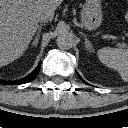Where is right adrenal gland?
Listing matches in <instances>:
<instances>
[{"instance_id": "1", "label": "right adrenal gland", "mask_w": 128, "mask_h": 128, "mask_svg": "<svg viewBox=\"0 0 128 128\" xmlns=\"http://www.w3.org/2000/svg\"><path fill=\"white\" fill-rule=\"evenodd\" d=\"M42 26H44V24H41V25H39V27H38V31H37V33H36V35H35V37H34L33 42H32V45H33V46H37V45H38L39 38H40V32H41Z\"/></svg>"}]
</instances>
